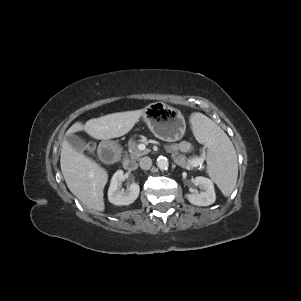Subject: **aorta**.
Listing matches in <instances>:
<instances>
[{
	"mask_svg": "<svg viewBox=\"0 0 301 301\" xmlns=\"http://www.w3.org/2000/svg\"><path fill=\"white\" fill-rule=\"evenodd\" d=\"M157 166L161 170H166L169 166V161L166 157L164 156H159L157 158Z\"/></svg>",
	"mask_w": 301,
	"mask_h": 301,
	"instance_id": "1",
	"label": "aorta"
}]
</instances>
